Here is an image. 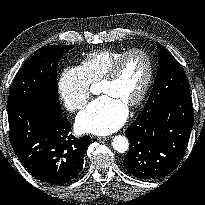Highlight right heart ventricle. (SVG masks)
I'll return each instance as SVG.
<instances>
[{
  "label": "right heart ventricle",
  "mask_w": 205,
  "mask_h": 205,
  "mask_svg": "<svg viewBox=\"0 0 205 205\" xmlns=\"http://www.w3.org/2000/svg\"><path fill=\"white\" fill-rule=\"evenodd\" d=\"M125 52L126 50L104 49L88 53L81 64L88 81L91 84L99 82L111 65Z\"/></svg>",
  "instance_id": "obj_1"
}]
</instances>
